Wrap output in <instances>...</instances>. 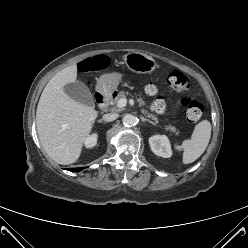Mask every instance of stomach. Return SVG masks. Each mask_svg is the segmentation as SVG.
Returning a JSON list of instances; mask_svg holds the SVG:
<instances>
[{
	"label": "stomach",
	"mask_w": 248,
	"mask_h": 248,
	"mask_svg": "<svg viewBox=\"0 0 248 248\" xmlns=\"http://www.w3.org/2000/svg\"><path fill=\"white\" fill-rule=\"evenodd\" d=\"M125 65L134 73H152L157 68L156 61L145 54L130 52L123 56ZM122 75L118 72L102 75L97 81L96 90L102 95H111L121 82Z\"/></svg>",
	"instance_id": "stomach-1"
}]
</instances>
